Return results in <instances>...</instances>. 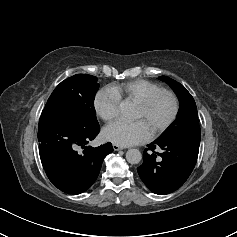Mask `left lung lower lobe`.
I'll return each mask as SVG.
<instances>
[{
    "label": "left lung lower lobe",
    "instance_id": "left-lung-lower-lobe-1",
    "mask_svg": "<svg viewBox=\"0 0 237 237\" xmlns=\"http://www.w3.org/2000/svg\"><path fill=\"white\" fill-rule=\"evenodd\" d=\"M200 139L155 140L143 153L137 168L144 184L155 194L165 195L180 188L193 171ZM160 147L161 153L155 152Z\"/></svg>",
    "mask_w": 237,
    "mask_h": 237
}]
</instances>
